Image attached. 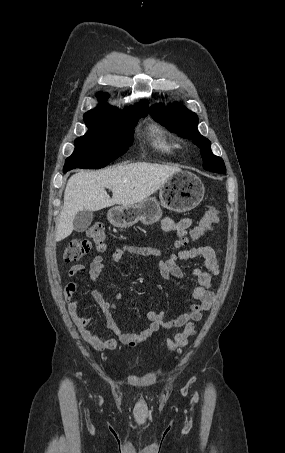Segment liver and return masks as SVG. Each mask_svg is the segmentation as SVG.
Wrapping results in <instances>:
<instances>
[{
	"label": "liver",
	"mask_w": 285,
	"mask_h": 453,
	"mask_svg": "<svg viewBox=\"0 0 285 453\" xmlns=\"http://www.w3.org/2000/svg\"><path fill=\"white\" fill-rule=\"evenodd\" d=\"M179 167L137 162L100 171L72 175L64 192V204L56 227V241L73 231L75 215L118 205H134L155 193ZM105 188L112 191V198Z\"/></svg>",
	"instance_id": "liver-1"
}]
</instances>
